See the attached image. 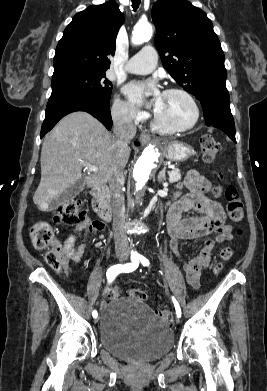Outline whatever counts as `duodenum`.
<instances>
[{
  "instance_id": "obj_1",
  "label": "duodenum",
  "mask_w": 267,
  "mask_h": 391,
  "mask_svg": "<svg viewBox=\"0 0 267 391\" xmlns=\"http://www.w3.org/2000/svg\"><path fill=\"white\" fill-rule=\"evenodd\" d=\"M92 208L102 220H111L112 211L108 202V188L105 185L92 189Z\"/></svg>"
}]
</instances>
